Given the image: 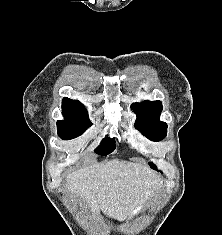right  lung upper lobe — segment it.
I'll return each mask as SVG.
<instances>
[{
	"instance_id": "right-lung-upper-lobe-1",
	"label": "right lung upper lobe",
	"mask_w": 222,
	"mask_h": 235,
	"mask_svg": "<svg viewBox=\"0 0 222 235\" xmlns=\"http://www.w3.org/2000/svg\"><path fill=\"white\" fill-rule=\"evenodd\" d=\"M62 113L64 117H88L87 110L82 103L67 97L62 100Z\"/></svg>"
}]
</instances>
